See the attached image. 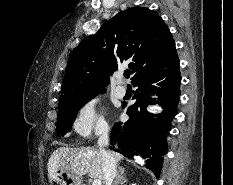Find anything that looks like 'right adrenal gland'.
I'll list each match as a JSON object with an SVG mask.
<instances>
[{
    "mask_svg": "<svg viewBox=\"0 0 233 185\" xmlns=\"http://www.w3.org/2000/svg\"><path fill=\"white\" fill-rule=\"evenodd\" d=\"M118 169L119 170L113 185L124 184L126 182L125 178L123 177L125 169L122 167H119Z\"/></svg>",
    "mask_w": 233,
    "mask_h": 185,
    "instance_id": "2a0ac1e0",
    "label": "right adrenal gland"
}]
</instances>
